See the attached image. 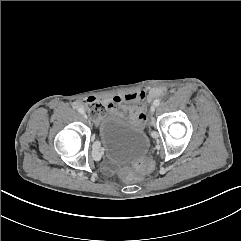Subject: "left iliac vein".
I'll list each match as a JSON object with an SVG mask.
<instances>
[{"label": "left iliac vein", "mask_w": 241, "mask_h": 241, "mask_svg": "<svg viewBox=\"0 0 241 241\" xmlns=\"http://www.w3.org/2000/svg\"><path fill=\"white\" fill-rule=\"evenodd\" d=\"M155 112V106H151L150 113L153 114Z\"/></svg>", "instance_id": "1"}]
</instances>
